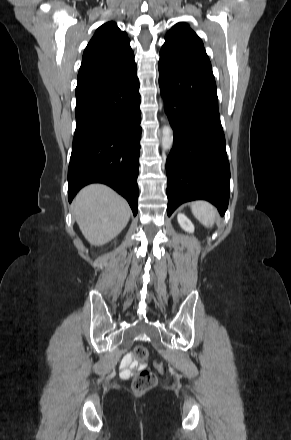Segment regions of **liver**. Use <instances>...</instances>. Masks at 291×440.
Listing matches in <instances>:
<instances>
[{"instance_id": "obj_1", "label": "liver", "mask_w": 291, "mask_h": 440, "mask_svg": "<svg viewBox=\"0 0 291 440\" xmlns=\"http://www.w3.org/2000/svg\"><path fill=\"white\" fill-rule=\"evenodd\" d=\"M73 210L82 234L94 246H102L116 237L131 215L127 201L102 184L83 188L75 197Z\"/></svg>"}]
</instances>
